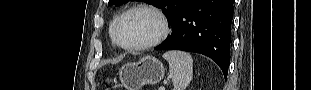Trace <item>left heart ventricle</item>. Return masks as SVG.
Returning <instances> with one entry per match:
<instances>
[{
	"instance_id": "obj_1",
	"label": "left heart ventricle",
	"mask_w": 311,
	"mask_h": 90,
	"mask_svg": "<svg viewBox=\"0 0 311 90\" xmlns=\"http://www.w3.org/2000/svg\"><path fill=\"white\" fill-rule=\"evenodd\" d=\"M158 31L159 23L152 14L135 12L120 23L118 38L125 45H138L153 39Z\"/></svg>"
}]
</instances>
